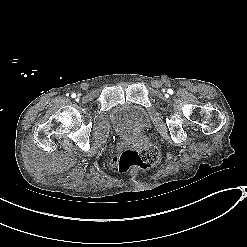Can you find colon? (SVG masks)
Here are the masks:
<instances>
[{
	"instance_id": "obj_1",
	"label": "colon",
	"mask_w": 247,
	"mask_h": 247,
	"mask_svg": "<svg viewBox=\"0 0 247 247\" xmlns=\"http://www.w3.org/2000/svg\"><path fill=\"white\" fill-rule=\"evenodd\" d=\"M120 158V171H128L132 168L147 169L159 162L160 152L152 142L141 141L133 149L123 152Z\"/></svg>"
}]
</instances>
